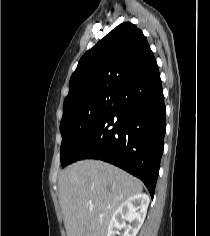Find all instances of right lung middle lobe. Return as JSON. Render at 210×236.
<instances>
[{"label":"right lung middle lobe","mask_w":210,"mask_h":236,"mask_svg":"<svg viewBox=\"0 0 210 236\" xmlns=\"http://www.w3.org/2000/svg\"><path fill=\"white\" fill-rule=\"evenodd\" d=\"M116 98V92L99 94L63 112L60 123V160L63 167L70 162L89 133L112 109L111 104H115Z\"/></svg>","instance_id":"dd1d6c3e"}]
</instances>
